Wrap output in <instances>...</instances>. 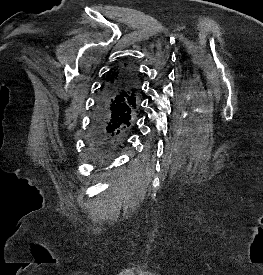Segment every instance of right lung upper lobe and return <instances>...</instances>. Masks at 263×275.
<instances>
[{
    "mask_svg": "<svg viewBox=\"0 0 263 275\" xmlns=\"http://www.w3.org/2000/svg\"><path fill=\"white\" fill-rule=\"evenodd\" d=\"M130 67L128 64H123L117 67L107 78L102 90L112 84H119L127 90V95L124 101V113L135 115L138 108L139 90L136 79L126 77L124 74Z\"/></svg>",
    "mask_w": 263,
    "mask_h": 275,
    "instance_id": "obj_1",
    "label": "right lung upper lobe"
}]
</instances>
